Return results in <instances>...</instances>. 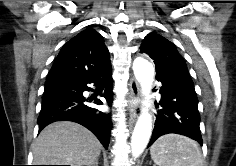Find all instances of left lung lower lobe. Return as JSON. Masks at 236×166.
Instances as JSON below:
<instances>
[{
	"instance_id": "obj_1",
	"label": "left lung lower lobe",
	"mask_w": 236,
	"mask_h": 166,
	"mask_svg": "<svg viewBox=\"0 0 236 166\" xmlns=\"http://www.w3.org/2000/svg\"><path fill=\"white\" fill-rule=\"evenodd\" d=\"M156 79L162 83L158 104L161 109L157 111L148 147L158 137L168 133L190 137L202 145L198 99L188 70L177 68L161 72L156 75Z\"/></svg>"
}]
</instances>
